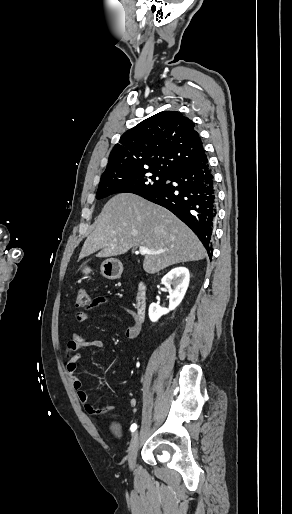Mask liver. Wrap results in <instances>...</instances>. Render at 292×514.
<instances>
[{
  "instance_id": "liver-1",
  "label": "liver",
  "mask_w": 292,
  "mask_h": 514,
  "mask_svg": "<svg viewBox=\"0 0 292 514\" xmlns=\"http://www.w3.org/2000/svg\"><path fill=\"white\" fill-rule=\"evenodd\" d=\"M138 246L163 252L146 254L143 268L147 274L207 256L197 236L169 210L135 194H118L105 204L79 258L98 250L97 258H111Z\"/></svg>"
}]
</instances>
